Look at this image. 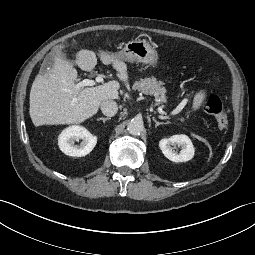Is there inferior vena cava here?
<instances>
[{
  "instance_id": "obj_1",
  "label": "inferior vena cava",
  "mask_w": 255,
  "mask_h": 255,
  "mask_svg": "<svg viewBox=\"0 0 255 255\" xmlns=\"http://www.w3.org/2000/svg\"><path fill=\"white\" fill-rule=\"evenodd\" d=\"M101 111L108 117H113L118 112V105L113 100H105L101 103Z\"/></svg>"
}]
</instances>
